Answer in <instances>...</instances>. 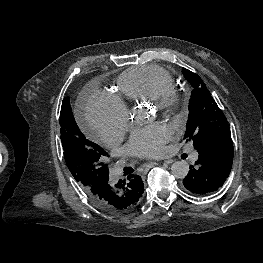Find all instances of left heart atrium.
I'll use <instances>...</instances> for the list:
<instances>
[{
  "label": "left heart atrium",
  "instance_id": "obj_1",
  "mask_svg": "<svg viewBox=\"0 0 263 263\" xmlns=\"http://www.w3.org/2000/svg\"><path fill=\"white\" fill-rule=\"evenodd\" d=\"M171 130L164 124H152L136 130L127 145V150L141 158L159 156L164 145L171 139Z\"/></svg>",
  "mask_w": 263,
  "mask_h": 263
}]
</instances>
